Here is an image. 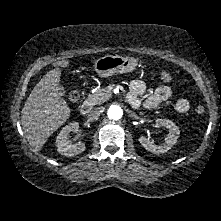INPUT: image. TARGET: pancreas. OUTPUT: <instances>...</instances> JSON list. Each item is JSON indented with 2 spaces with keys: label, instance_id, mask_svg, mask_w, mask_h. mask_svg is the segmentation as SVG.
<instances>
[{
  "label": "pancreas",
  "instance_id": "pancreas-1",
  "mask_svg": "<svg viewBox=\"0 0 221 221\" xmlns=\"http://www.w3.org/2000/svg\"><path fill=\"white\" fill-rule=\"evenodd\" d=\"M111 96L110 91L107 88H97L94 93L89 94L86 98V103L93 107L107 101Z\"/></svg>",
  "mask_w": 221,
  "mask_h": 221
}]
</instances>
